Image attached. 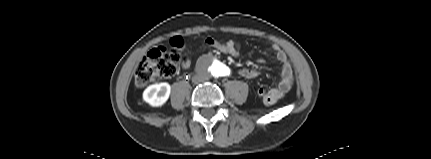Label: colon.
Segmentation results:
<instances>
[{"label": "colon", "instance_id": "5ec220e1", "mask_svg": "<svg viewBox=\"0 0 431 159\" xmlns=\"http://www.w3.org/2000/svg\"><path fill=\"white\" fill-rule=\"evenodd\" d=\"M174 49L167 50L164 47H157L151 49L147 55L141 60L135 70L134 83L138 88H144L151 82L158 79L171 78L178 71L179 65L182 61V56L179 49L183 47V40L181 38H173L171 41ZM215 49V48H213ZM216 50V49H215ZM220 54L234 56L236 50H217ZM254 93L259 97L266 94L264 88H254Z\"/></svg>", "mask_w": 431, "mask_h": 159}]
</instances>
